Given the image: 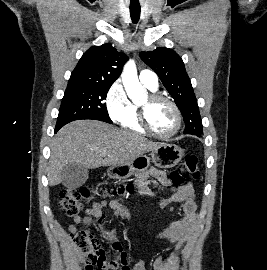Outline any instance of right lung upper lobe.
Masks as SVG:
<instances>
[{"mask_svg":"<svg viewBox=\"0 0 267 270\" xmlns=\"http://www.w3.org/2000/svg\"><path fill=\"white\" fill-rule=\"evenodd\" d=\"M127 61L128 56L110 44L93 46L82 55L71 73L69 83L112 85Z\"/></svg>","mask_w":267,"mask_h":270,"instance_id":"1","label":"right lung upper lobe"}]
</instances>
